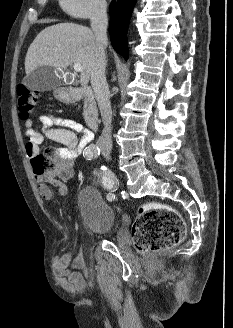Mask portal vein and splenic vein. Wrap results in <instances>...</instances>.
Returning <instances> with one entry per match:
<instances>
[{
    "label": "portal vein and splenic vein",
    "instance_id": "1",
    "mask_svg": "<svg viewBox=\"0 0 233 328\" xmlns=\"http://www.w3.org/2000/svg\"><path fill=\"white\" fill-rule=\"evenodd\" d=\"M73 68L76 72H81L82 71V66L79 63H74Z\"/></svg>",
    "mask_w": 233,
    "mask_h": 328
}]
</instances>
